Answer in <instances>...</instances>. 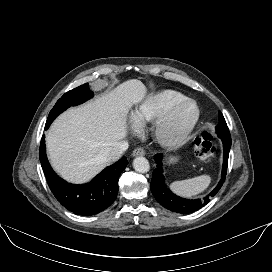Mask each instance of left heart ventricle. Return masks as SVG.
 <instances>
[{"label": "left heart ventricle", "mask_w": 272, "mask_h": 272, "mask_svg": "<svg viewBox=\"0 0 272 272\" xmlns=\"http://www.w3.org/2000/svg\"><path fill=\"white\" fill-rule=\"evenodd\" d=\"M195 115V107L192 104H185L179 107L171 117L166 132L176 135L183 132L191 123Z\"/></svg>", "instance_id": "obj_1"}]
</instances>
